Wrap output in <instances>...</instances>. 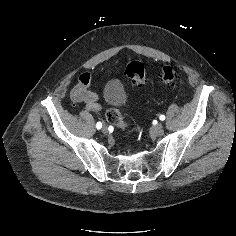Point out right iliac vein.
I'll return each mask as SVG.
<instances>
[{"mask_svg":"<svg viewBox=\"0 0 236 236\" xmlns=\"http://www.w3.org/2000/svg\"><path fill=\"white\" fill-rule=\"evenodd\" d=\"M102 133H103V134H107V133H108V128H107V126L104 125V126L102 127Z\"/></svg>","mask_w":236,"mask_h":236,"instance_id":"obj_1","label":"right iliac vein"}]
</instances>
